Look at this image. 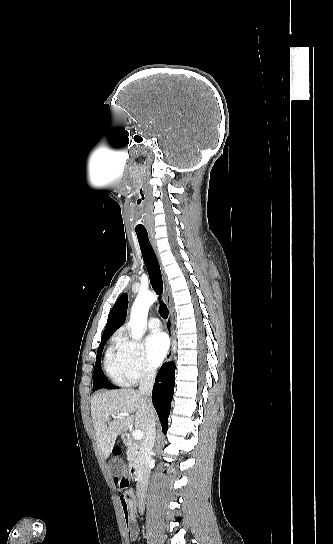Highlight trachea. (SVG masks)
Instances as JSON below:
<instances>
[{"label": "trachea", "instance_id": "3493384b", "mask_svg": "<svg viewBox=\"0 0 333 544\" xmlns=\"http://www.w3.org/2000/svg\"><path fill=\"white\" fill-rule=\"evenodd\" d=\"M136 234L151 285L154 291L158 295H161L163 291L161 270L154 249L149 241L148 234L139 232H136ZM159 314L163 319H166L169 314L168 308L162 300L159 302Z\"/></svg>", "mask_w": 333, "mask_h": 544}]
</instances>
